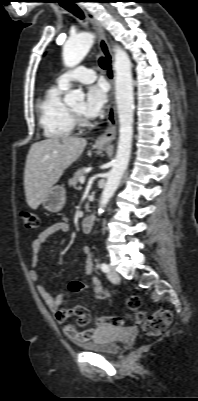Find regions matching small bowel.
<instances>
[{"label": "small bowel", "instance_id": "obj_1", "mask_svg": "<svg viewBox=\"0 0 198 401\" xmlns=\"http://www.w3.org/2000/svg\"><path fill=\"white\" fill-rule=\"evenodd\" d=\"M69 228L70 227L68 222L59 221L43 229L34 239L31 246L32 257H31V268L29 270L30 276L33 281L39 282V275L36 271V267L39 261L38 258L39 250L47 245L48 239L51 236L57 233L66 234L69 231ZM82 253L85 257L84 273L87 275H91L93 270L91 248L89 246H84L82 248ZM74 283L77 285V289L74 292L80 291L85 287H87L86 284L80 281H74ZM91 284L93 287L95 299L98 301L104 300L106 298V293L101 281L97 277L93 276L91 278ZM37 290L42 299L44 300V302L46 303L49 310L53 313L55 321L62 325V330L64 335L70 340L78 344H84L98 337L100 331L103 328H105L96 321L93 326L84 331H81L80 327L89 324L90 319L87 324L82 325L79 322V316L75 314L76 324L67 323L68 312L59 308L61 302L64 300V291H62L59 294H53L50 291H48L42 284L37 285Z\"/></svg>", "mask_w": 198, "mask_h": 401}]
</instances>
